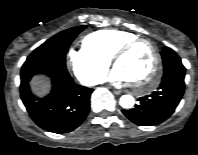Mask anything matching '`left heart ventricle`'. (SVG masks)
Masks as SVG:
<instances>
[{
  "mask_svg": "<svg viewBox=\"0 0 198 155\" xmlns=\"http://www.w3.org/2000/svg\"><path fill=\"white\" fill-rule=\"evenodd\" d=\"M154 62L152 49L146 43H139L116 62L131 82H142L150 73Z\"/></svg>",
  "mask_w": 198,
  "mask_h": 155,
  "instance_id": "left-heart-ventricle-1",
  "label": "left heart ventricle"
}]
</instances>
